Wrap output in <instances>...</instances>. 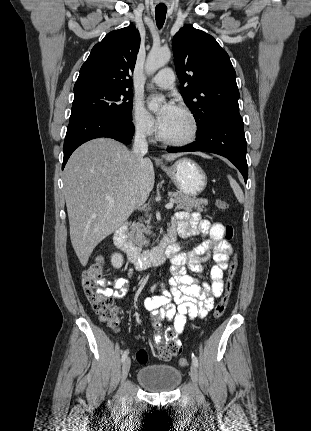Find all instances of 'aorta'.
I'll return each instance as SVG.
<instances>
[{
	"instance_id": "aorta-1",
	"label": "aorta",
	"mask_w": 311,
	"mask_h": 431,
	"mask_svg": "<svg viewBox=\"0 0 311 431\" xmlns=\"http://www.w3.org/2000/svg\"><path fill=\"white\" fill-rule=\"evenodd\" d=\"M171 58V52L170 50H163V48H158V50H155V48H152L150 50L146 64H145V72L148 74V76H152V74H155L159 68H162V66H166L168 62H170ZM165 98L164 96H153L151 98L148 108L149 110H154V112H157L159 110L161 104H164Z\"/></svg>"
}]
</instances>
